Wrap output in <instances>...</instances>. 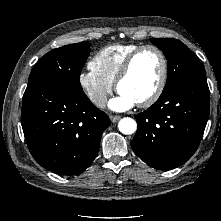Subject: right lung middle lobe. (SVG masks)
<instances>
[{
    "instance_id": "obj_1",
    "label": "right lung middle lobe",
    "mask_w": 221,
    "mask_h": 221,
    "mask_svg": "<svg viewBox=\"0 0 221 221\" xmlns=\"http://www.w3.org/2000/svg\"><path fill=\"white\" fill-rule=\"evenodd\" d=\"M89 53L88 42L66 45L48 52L31 71L28 84L82 90L80 74Z\"/></svg>"
}]
</instances>
